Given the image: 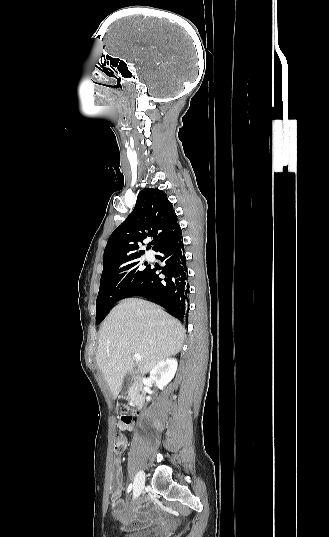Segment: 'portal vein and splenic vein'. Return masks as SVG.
Returning a JSON list of instances; mask_svg holds the SVG:
<instances>
[{
	"instance_id": "18ae733b",
	"label": "portal vein and splenic vein",
	"mask_w": 329,
	"mask_h": 537,
	"mask_svg": "<svg viewBox=\"0 0 329 537\" xmlns=\"http://www.w3.org/2000/svg\"><path fill=\"white\" fill-rule=\"evenodd\" d=\"M133 358H134L136 361H139V360L142 359V357H141L140 355H138V354H134V355H133Z\"/></svg>"
}]
</instances>
